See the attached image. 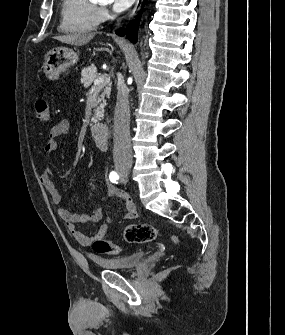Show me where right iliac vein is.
<instances>
[{
	"instance_id": "obj_1",
	"label": "right iliac vein",
	"mask_w": 285,
	"mask_h": 335,
	"mask_svg": "<svg viewBox=\"0 0 285 335\" xmlns=\"http://www.w3.org/2000/svg\"><path fill=\"white\" fill-rule=\"evenodd\" d=\"M120 174H121L122 177L128 178V177L131 176V171L128 170V169H123Z\"/></svg>"
}]
</instances>
